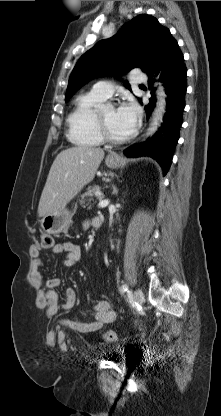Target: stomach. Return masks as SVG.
Listing matches in <instances>:
<instances>
[{
	"instance_id": "stomach-1",
	"label": "stomach",
	"mask_w": 221,
	"mask_h": 416,
	"mask_svg": "<svg viewBox=\"0 0 221 416\" xmlns=\"http://www.w3.org/2000/svg\"><path fill=\"white\" fill-rule=\"evenodd\" d=\"M120 158L115 159L106 158L105 163L109 168H117L120 165ZM72 223V214L67 209H62L51 215L44 216L41 219V227L44 232L48 234L57 235L59 233H66Z\"/></svg>"
}]
</instances>
